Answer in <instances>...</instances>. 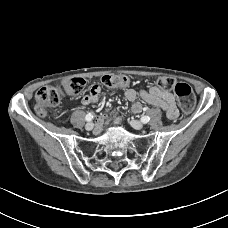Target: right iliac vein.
I'll list each match as a JSON object with an SVG mask.
<instances>
[{
	"label": "right iliac vein",
	"mask_w": 228,
	"mask_h": 228,
	"mask_svg": "<svg viewBox=\"0 0 228 228\" xmlns=\"http://www.w3.org/2000/svg\"><path fill=\"white\" fill-rule=\"evenodd\" d=\"M93 126H94V124H93L92 122H88V123L85 125V129H86L87 131H90V130L93 129Z\"/></svg>",
	"instance_id": "right-iliac-vein-1"
}]
</instances>
